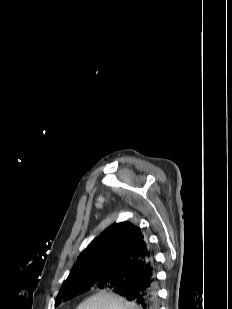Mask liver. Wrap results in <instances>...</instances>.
I'll return each instance as SVG.
<instances>
[{
	"mask_svg": "<svg viewBox=\"0 0 232 309\" xmlns=\"http://www.w3.org/2000/svg\"><path fill=\"white\" fill-rule=\"evenodd\" d=\"M76 309H140L132 302L106 291H101L83 301Z\"/></svg>",
	"mask_w": 232,
	"mask_h": 309,
	"instance_id": "liver-1",
	"label": "liver"
}]
</instances>
